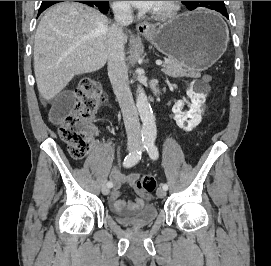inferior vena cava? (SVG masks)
Returning a JSON list of instances; mask_svg holds the SVG:
<instances>
[{
    "mask_svg": "<svg viewBox=\"0 0 271 266\" xmlns=\"http://www.w3.org/2000/svg\"><path fill=\"white\" fill-rule=\"evenodd\" d=\"M112 9L116 23L110 27L108 32V76L122 111L128 141L140 142V123L128 84L122 30L123 27L133 22V11L130 5L124 2L114 4Z\"/></svg>",
    "mask_w": 271,
    "mask_h": 266,
    "instance_id": "1",
    "label": "inferior vena cava"
}]
</instances>
